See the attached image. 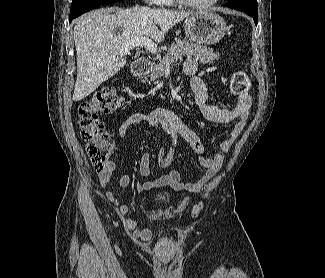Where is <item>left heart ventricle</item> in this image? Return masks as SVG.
<instances>
[{
    "mask_svg": "<svg viewBox=\"0 0 325 278\" xmlns=\"http://www.w3.org/2000/svg\"><path fill=\"white\" fill-rule=\"evenodd\" d=\"M191 1H194V2H197V3H205L209 0H191Z\"/></svg>",
    "mask_w": 325,
    "mask_h": 278,
    "instance_id": "1",
    "label": "left heart ventricle"
}]
</instances>
